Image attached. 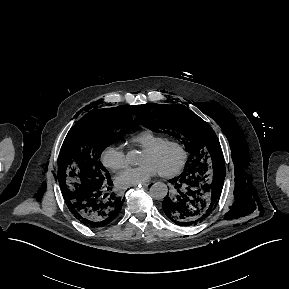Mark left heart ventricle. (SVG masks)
Listing matches in <instances>:
<instances>
[{"label":"left heart ventricle","instance_id":"1","mask_svg":"<svg viewBox=\"0 0 289 289\" xmlns=\"http://www.w3.org/2000/svg\"><path fill=\"white\" fill-rule=\"evenodd\" d=\"M181 153L178 148L169 146L157 154L148 153L143 151L140 163L152 164L159 172H166L174 169L180 162Z\"/></svg>","mask_w":289,"mask_h":289}]
</instances>
